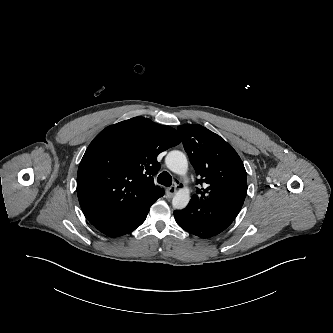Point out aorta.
<instances>
[{"instance_id":"aorta-1","label":"aorta","mask_w":333,"mask_h":333,"mask_svg":"<svg viewBox=\"0 0 333 333\" xmlns=\"http://www.w3.org/2000/svg\"><path fill=\"white\" fill-rule=\"evenodd\" d=\"M166 166L174 173L185 175L188 169V161L185 154L178 150H173L166 156ZM190 200L188 189H180L172 200L175 209H184Z\"/></svg>"}]
</instances>
